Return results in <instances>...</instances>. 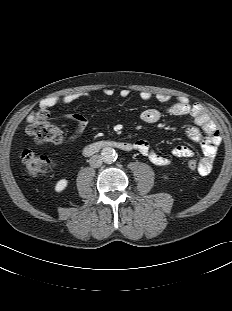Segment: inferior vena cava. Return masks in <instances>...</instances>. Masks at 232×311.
I'll list each match as a JSON object with an SVG mask.
<instances>
[{
  "label": "inferior vena cava",
  "instance_id": "inferior-vena-cava-1",
  "mask_svg": "<svg viewBox=\"0 0 232 311\" xmlns=\"http://www.w3.org/2000/svg\"><path fill=\"white\" fill-rule=\"evenodd\" d=\"M103 159L100 155H93L89 159V164L93 168H99L102 165Z\"/></svg>",
  "mask_w": 232,
  "mask_h": 311
}]
</instances>
